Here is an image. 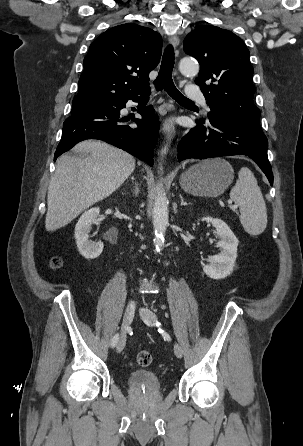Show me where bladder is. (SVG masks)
<instances>
[{
  "instance_id": "obj_1",
  "label": "bladder",
  "mask_w": 303,
  "mask_h": 446,
  "mask_svg": "<svg viewBox=\"0 0 303 446\" xmlns=\"http://www.w3.org/2000/svg\"><path fill=\"white\" fill-rule=\"evenodd\" d=\"M127 384L129 387L134 388H151L156 389L161 385L160 378L155 373L143 370L136 369L131 371L127 376Z\"/></svg>"
}]
</instances>
